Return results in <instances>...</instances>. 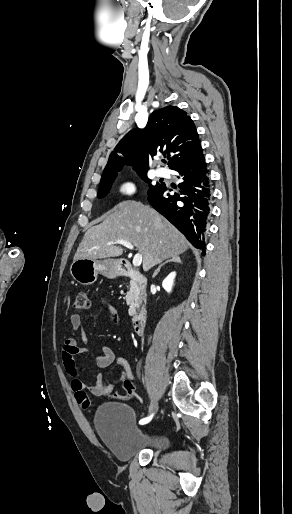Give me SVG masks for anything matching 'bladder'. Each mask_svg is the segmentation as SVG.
I'll return each mask as SVG.
<instances>
[{
  "label": "bladder",
  "mask_w": 292,
  "mask_h": 514,
  "mask_svg": "<svg viewBox=\"0 0 292 514\" xmlns=\"http://www.w3.org/2000/svg\"><path fill=\"white\" fill-rule=\"evenodd\" d=\"M94 428L106 447L121 461H128L143 450L162 451L168 446L163 433L145 432L136 423L134 409L122 402H108L97 410Z\"/></svg>",
  "instance_id": "1"
}]
</instances>
